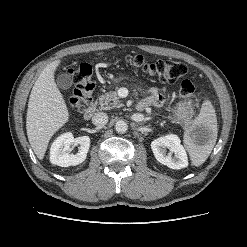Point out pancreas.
<instances>
[{
    "mask_svg": "<svg viewBox=\"0 0 247 247\" xmlns=\"http://www.w3.org/2000/svg\"><path fill=\"white\" fill-rule=\"evenodd\" d=\"M100 110H111L114 108H121L123 104L119 100L117 95V89L114 91H109L99 97Z\"/></svg>",
    "mask_w": 247,
    "mask_h": 247,
    "instance_id": "obj_1",
    "label": "pancreas"
}]
</instances>
